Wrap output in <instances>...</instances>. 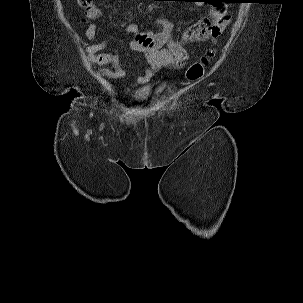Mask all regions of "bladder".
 Returning a JSON list of instances; mask_svg holds the SVG:
<instances>
[{"label":"bladder","instance_id":"bladder-1","mask_svg":"<svg viewBox=\"0 0 303 303\" xmlns=\"http://www.w3.org/2000/svg\"><path fill=\"white\" fill-rule=\"evenodd\" d=\"M145 99L146 97L143 95H134L132 100L133 102L140 103L143 102Z\"/></svg>","mask_w":303,"mask_h":303}]
</instances>
